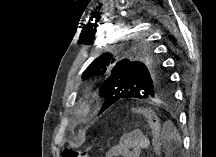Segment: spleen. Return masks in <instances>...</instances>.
<instances>
[{
	"label": "spleen",
	"instance_id": "1",
	"mask_svg": "<svg viewBox=\"0 0 216 157\" xmlns=\"http://www.w3.org/2000/svg\"><path fill=\"white\" fill-rule=\"evenodd\" d=\"M169 130H165L160 139L166 151H172L174 148L180 149L182 147L181 137L171 122L165 124Z\"/></svg>",
	"mask_w": 216,
	"mask_h": 157
}]
</instances>
